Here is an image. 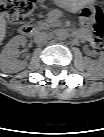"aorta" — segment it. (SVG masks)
Listing matches in <instances>:
<instances>
[{"label":"aorta","instance_id":"obj_1","mask_svg":"<svg viewBox=\"0 0 104 137\" xmlns=\"http://www.w3.org/2000/svg\"><path fill=\"white\" fill-rule=\"evenodd\" d=\"M55 34H56L57 38L60 40H64L68 37V32L66 30H62V29L57 30L55 32Z\"/></svg>","mask_w":104,"mask_h":137}]
</instances>
